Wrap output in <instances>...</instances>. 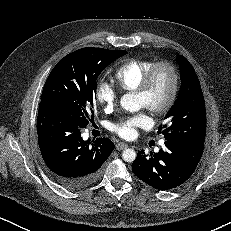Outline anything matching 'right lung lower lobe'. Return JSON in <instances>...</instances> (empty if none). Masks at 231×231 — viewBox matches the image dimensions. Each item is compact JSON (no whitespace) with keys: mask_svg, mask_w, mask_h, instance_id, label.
<instances>
[{"mask_svg":"<svg viewBox=\"0 0 231 231\" xmlns=\"http://www.w3.org/2000/svg\"><path fill=\"white\" fill-rule=\"evenodd\" d=\"M81 129L60 106L40 102L37 130L41 154L52 177L68 189H82L95 182L115 147L107 138L84 141Z\"/></svg>","mask_w":231,"mask_h":231,"instance_id":"obj_1","label":"right lung lower lobe"}]
</instances>
